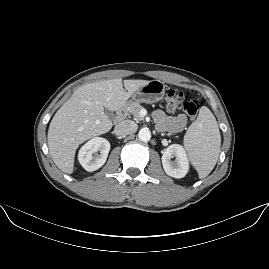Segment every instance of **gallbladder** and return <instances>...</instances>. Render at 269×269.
Wrapping results in <instances>:
<instances>
[{
    "label": "gallbladder",
    "instance_id": "obj_1",
    "mask_svg": "<svg viewBox=\"0 0 269 269\" xmlns=\"http://www.w3.org/2000/svg\"><path fill=\"white\" fill-rule=\"evenodd\" d=\"M105 113H106V115H107L109 118H111V117L114 116L113 111H111V110H109V109H107V108H105Z\"/></svg>",
    "mask_w": 269,
    "mask_h": 269
}]
</instances>
